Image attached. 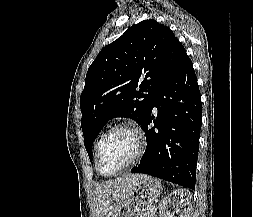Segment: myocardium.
<instances>
[{
  "label": "myocardium",
  "instance_id": "obj_1",
  "mask_svg": "<svg viewBox=\"0 0 253 217\" xmlns=\"http://www.w3.org/2000/svg\"><path fill=\"white\" fill-rule=\"evenodd\" d=\"M118 130H126L129 131L130 133L133 134V136L135 137L136 140V151L134 153V155L132 156V158L126 163L124 164L122 167H120L119 169L115 170L112 173H104L101 171L100 167H99V153H100V149L101 146L103 144V142L106 140V138L111 135L113 132L118 131ZM145 137L143 132L135 125L129 124V123H119L116 124L114 126H112L109 130H107L99 139L97 145H96V149H95V169L96 171L104 177H111L114 175H117L121 172H123L124 170L128 169L130 166H132L133 164H135L143 155L144 151H145Z\"/></svg>",
  "mask_w": 253,
  "mask_h": 217
}]
</instances>
